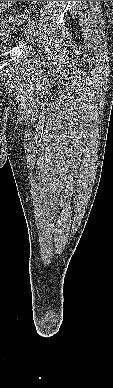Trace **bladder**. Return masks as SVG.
<instances>
[{
  "mask_svg": "<svg viewBox=\"0 0 113 388\" xmlns=\"http://www.w3.org/2000/svg\"><path fill=\"white\" fill-rule=\"evenodd\" d=\"M0 29H1V26H0ZM4 34L2 32H0V54L4 53L6 51V46L5 44L2 42L3 38H4Z\"/></svg>",
  "mask_w": 113,
  "mask_h": 388,
  "instance_id": "obj_1",
  "label": "bladder"
}]
</instances>
